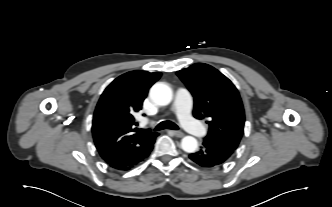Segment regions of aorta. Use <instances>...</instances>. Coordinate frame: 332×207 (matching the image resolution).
Returning a JSON list of instances; mask_svg holds the SVG:
<instances>
[{"instance_id":"1","label":"aorta","mask_w":332,"mask_h":207,"mask_svg":"<svg viewBox=\"0 0 332 207\" xmlns=\"http://www.w3.org/2000/svg\"><path fill=\"white\" fill-rule=\"evenodd\" d=\"M149 95L152 101L160 106L168 105L173 96L171 88L163 82L155 83L151 87ZM181 148L187 153H193L198 148V142L192 136H185L181 140Z\"/></svg>"}]
</instances>
